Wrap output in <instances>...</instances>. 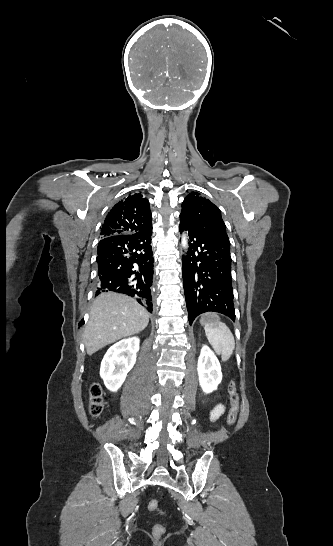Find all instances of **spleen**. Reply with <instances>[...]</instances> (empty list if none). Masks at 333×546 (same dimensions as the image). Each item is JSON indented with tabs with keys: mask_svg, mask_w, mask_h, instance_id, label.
Masks as SVG:
<instances>
[{
	"mask_svg": "<svg viewBox=\"0 0 333 546\" xmlns=\"http://www.w3.org/2000/svg\"><path fill=\"white\" fill-rule=\"evenodd\" d=\"M213 320L205 323L206 337L217 354H221L223 361L230 359L235 349V340L226 324L222 323L218 315H212Z\"/></svg>",
	"mask_w": 333,
	"mask_h": 546,
	"instance_id": "obj_1",
	"label": "spleen"
}]
</instances>
